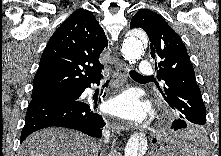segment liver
Returning <instances> with one entry per match:
<instances>
[{"label": "liver", "mask_w": 221, "mask_h": 156, "mask_svg": "<svg viewBox=\"0 0 221 156\" xmlns=\"http://www.w3.org/2000/svg\"><path fill=\"white\" fill-rule=\"evenodd\" d=\"M99 147L88 136L64 128H46L29 135L20 156H97Z\"/></svg>", "instance_id": "6515ba94"}]
</instances>
